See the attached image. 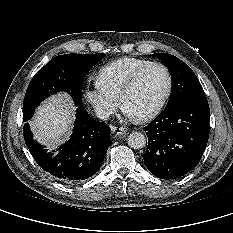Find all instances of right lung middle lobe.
<instances>
[{
    "instance_id": "1",
    "label": "right lung middle lobe",
    "mask_w": 233,
    "mask_h": 233,
    "mask_svg": "<svg viewBox=\"0 0 233 233\" xmlns=\"http://www.w3.org/2000/svg\"><path fill=\"white\" fill-rule=\"evenodd\" d=\"M103 53L64 54L54 57L31 80L23 103V121L29 120L35 108L50 94L66 91L76 105L82 102L83 81L92 66L102 59Z\"/></svg>"
}]
</instances>
